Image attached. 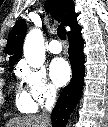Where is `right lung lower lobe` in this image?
<instances>
[{
    "label": "right lung lower lobe",
    "instance_id": "1",
    "mask_svg": "<svg viewBox=\"0 0 108 127\" xmlns=\"http://www.w3.org/2000/svg\"><path fill=\"white\" fill-rule=\"evenodd\" d=\"M69 60L72 67V80L62 91L52 112L53 127H65L70 113L78 104L84 81V54L81 28L77 26L68 32Z\"/></svg>",
    "mask_w": 108,
    "mask_h": 127
}]
</instances>
